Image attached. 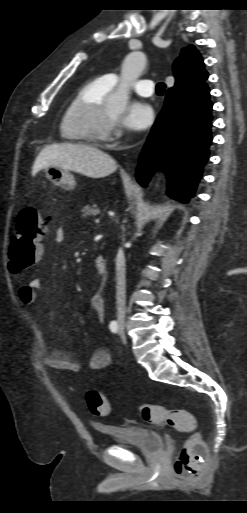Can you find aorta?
I'll return each instance as SVG.
<instances>
[{"label":"aorta","instance_id":"1","mask_svg":"<svg viewBox=\"0 0 247 513\" xmlns=\"http://www.w3.org/2000/svg\"><path fill=\"white\" fill-rule=\"evenodd\" d=\"M146 66L145 54L139 51L131 52L122 64L121 79L115 91L108 99V107L118 113L125 110L129 99L132 83L141 75Z\"/></svg>","mask_w":247,"mask_h":513}]
</instances>
